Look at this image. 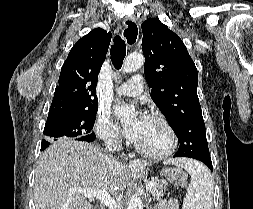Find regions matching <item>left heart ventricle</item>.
Segmentation results:
<instances>
[{"mask_svg": "<svg viewBox=\"0 0 253 209\" xmlns=\"http://www.w3.org/2000/svg\"><path fill=\"white\" fill-rule=\"evenodd\" d=\"M136 143L146 151L161 152L169 146V134L159 121L150 118Z\"/></svg>", "mask_w": 253, "mask_h": 209, "instance_id": "1", "label": "left heart ventricle"}]
</instances>
